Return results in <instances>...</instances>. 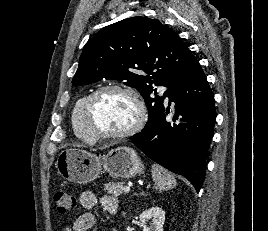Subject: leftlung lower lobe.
<instances>
[{
  "label": "left lung lower lobe",
  "mask_w": 268,
  "mask_h": 231,
  "mask_svg": "<svg viewBox=\"0 0 268 231\" xmlns=\"http://www.w3.org/2000/svg\"><path fill=\"white\" fill-rule=\"evenodd\" d=\"M167 96L169 106L175 103L173 120H166L164 109L150 127L130 139L150 159L184 176L199 192L216 111L213 92L198 61L172 84Z\"/></svg>",
  "instance_id": "left-lung-lower-lobe-1"
}]
</instances>
